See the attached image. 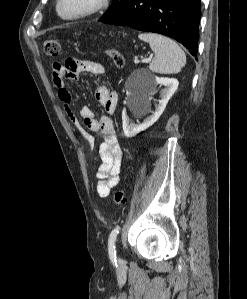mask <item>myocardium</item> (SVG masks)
Returning <instances> with one entry per match:
<instances>
[{
  "instance_id": "1",
  "label": "myocardium",
  "mask_w": 247,
  "mask_h": 299,
  "mask_svg": "<svg viewBox=\"0 0 247 299\" xmlns=\"http://www.w3.org/2000/svg\"><path fill=\"white\" fill-rule=\"evenodd\" d=\"M63 2L64 0H56V14L63 20L75 21L98 13L108 5L109 0H90L84 8L70 15H66L62 12L61 5Z\"/></svg>"
}]
</instances>
